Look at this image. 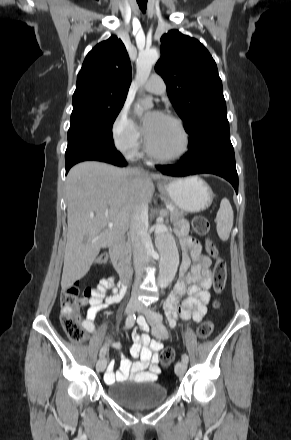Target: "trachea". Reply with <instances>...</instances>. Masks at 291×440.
I'll use <instances>...</instances> for the list:
<instances>
[{"instance_id":"3493384b","label":"trachea","mask_w":291,"mask_h":440,"mask_svg":"<svg viewBox=\"0 0 291 440\" xmlns=\"http://www.w3.org/2000/svg\"><path fill=\"white\" fill-rule=\"evenodd\" d=\"M140 9L144 12L146 10L147 0H137Z\"/></svg>"}]
</instances>
